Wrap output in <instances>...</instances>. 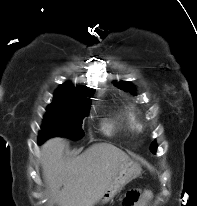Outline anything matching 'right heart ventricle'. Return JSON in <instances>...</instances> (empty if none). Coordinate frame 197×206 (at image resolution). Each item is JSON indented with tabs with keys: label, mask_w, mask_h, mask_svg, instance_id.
<instances>
[{
	"label": "right heart ventricle",
	"mask_w": 197,
	"mask_h": 206,
	"mask_svg": "<svg viewBox=\"0 0 197 206\" xmlns=\"http://www.w3.org/2000/svg\"><path fill=\"white\" fill-rule=\"evenodd\" d=\"M121 116L131 125L135 126L136 121L134 114L132 113L131 109L125 108V110L122 112ZM108 127L111 128L112 124H108Z\"/></svg>",
	"instance_id": "1"
}]
</instances>
